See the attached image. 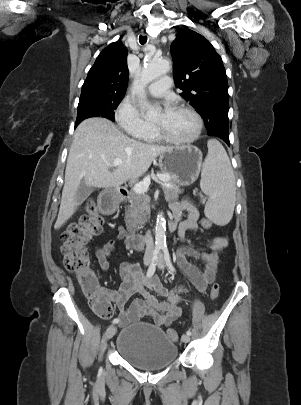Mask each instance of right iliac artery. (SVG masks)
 <instances>
[{"mask_svg":"<svg viewBox=\"0 0 301 405\" xmlns=\"http://www.w3.org/2000/svg\"><path fill=\"white\" fill-rule=\"evenodd\" d=\"M160 250H161V247H159V246L155 247V249H154L151 264H150V266L148 268V271H147V277L148 278L151 277L155 272L157 257H158V254H159ZM118 322H119L118 318L113 320V324H116Z\"/></svg>","mask_w":301,"mask_h":405,"instance_id":"right-iliac-artery-1","label":"right iliac artery"}]
</instances>
